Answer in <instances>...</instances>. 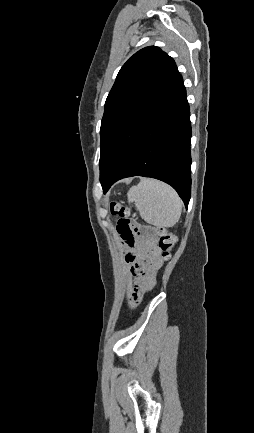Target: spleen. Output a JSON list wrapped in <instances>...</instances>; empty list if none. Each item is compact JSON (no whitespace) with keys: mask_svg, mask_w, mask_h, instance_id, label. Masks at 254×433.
<instances>
[{"mask_svg":"<svg viewBox=\"0 0 254 433\" xmlns=\"http://www.w3.org/2000/svg\"><path fill=\"white\" fill-rule=\"evenodd\" d=\"M127 198L140 216L154 226L172 227L180 219L182 201L172 187L161 181L143 179L130 188Z\"/></svg>","mask_w":254,"mask_h":433,"instance_id":"1","label":"spleen"}]
</instances>
